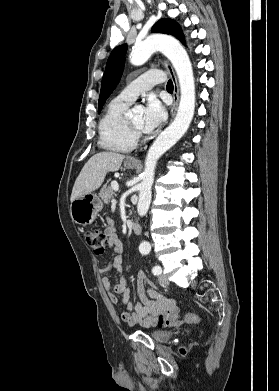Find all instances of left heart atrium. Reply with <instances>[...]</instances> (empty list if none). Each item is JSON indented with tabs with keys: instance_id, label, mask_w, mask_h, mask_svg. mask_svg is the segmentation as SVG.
Segmentation results:
<instances>
[{
	"instance_id": "39dd6f15",
	"label": "left heart atrium",
	"mask_w": 279,
	"mask_h": 391,
	"mask_svg": "<svg viewBox=\"0 0 279 391\" xmlns=\"http://www.w3.org/2000/svg\"><path fill=\"white\" fill-rule=\"evenodd\" d=\"M166 118V110L161 102L154 96L147 100L143 114V130L151 132L156 129Z\"/></svg>"
}]
</instances>
